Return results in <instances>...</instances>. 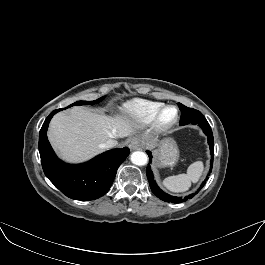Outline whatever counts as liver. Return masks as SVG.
<instances>
[{"label": "liver", "instance_id": "6515ba94", "mask_svg": "<svg viewBox=\"0 0 265 265\" xmlns=\"http://www.w3.org/2000/svg\"><path fill=\"white\" fill-rule=\"evenodd\" d=\"M134 132L133 123L126 117H110L74 107L53 117L48 139L62 159L79 163L100 154L101 145L107 140L124 138Z\"/></svg>", "mask_w": 265, "mask_h": 265}]
</instances>
